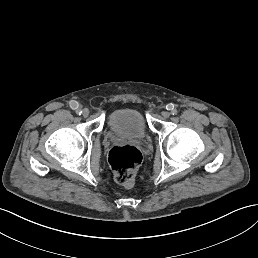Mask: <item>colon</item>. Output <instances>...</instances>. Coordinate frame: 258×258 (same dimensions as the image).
Wrapping results in <instances>:
<instances>
[{
  "mask_svg": "<svg viewBox=\"0 0 258 258\" xmlns=\"http://www.w3.org/2000/svg\"><path fill=\"white\" fill-rule=\"evenodd\" d=\"M141 160V152L132 145H116L108 155L114 179L123 185L132 183Z\"/></svg>",
  "mask_w": 258,
  "mask_h": 258,
  "instance_id": "obj_1",
  "label": "colon"
}]
</instances>
